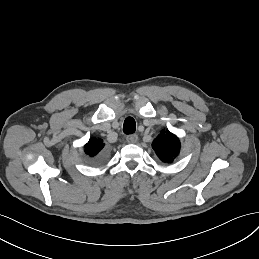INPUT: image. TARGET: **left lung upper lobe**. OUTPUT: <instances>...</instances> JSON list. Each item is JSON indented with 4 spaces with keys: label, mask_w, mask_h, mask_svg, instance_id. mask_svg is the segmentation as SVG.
I'll return each instance as SVG.
<instances>
[{
    "label": "left lung upper lobe",
    "mask_w": 259,
    "mask_h": 259,
    "mask_svg": "<svg viewBox=\"0 0 259 259\" xmlns=\"http://www.w3.org/2000/svg\"><path fill=\"white\" fill-rule=\"evenodd\" d=\"M152 148L162 162L172 163L180 152V141L173 133L162 130L153 140Z\"/></svg>",
    "instance_id": "left-lung-upper-lobe-1"
}]
</instances>
